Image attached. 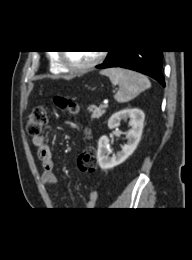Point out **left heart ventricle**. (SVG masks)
I'll use <instances>...</instances> for the list:
<instances>
[{"instance_id": "b2bd125f", "label": "left heart ventricle", "mask_w": 192, "mask_h": 260, "mask_svg": "<svg viewBox=\"0 0 192 260\" xmlns=\"http://www.w3.org/2000/svg\"><path fill=\"white\" fill-rule=\"evenodd\" d=\"M97 56V52L93 51H70L66 53L69 63L79 66L92 61Z\"/></svg>"}]
</instances>
